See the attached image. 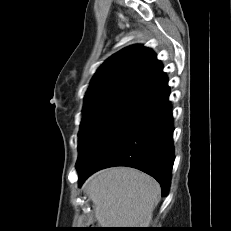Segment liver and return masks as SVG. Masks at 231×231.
Wrapping results in <instances>:
<instances>
[{"label": "liver", "instance_id": "liver-1", "mask_svg": "<svg viewBox=\"0 0 231 231\" xmlns=\"http://www.w3.org/2000/svg\"><path fill=\"white\" fill-rule=\"evenodd\" d=\"M102 228H147L160 185L147 174L127 167L99 171L84 183Z\"/></svg>", "mask_w": 231, "mask_h": 231}]
</instances>
